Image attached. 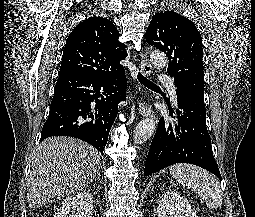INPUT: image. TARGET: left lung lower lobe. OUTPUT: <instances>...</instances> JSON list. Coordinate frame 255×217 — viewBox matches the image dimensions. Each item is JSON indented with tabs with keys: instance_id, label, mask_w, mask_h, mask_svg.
I'll use <instances>...</instances> for the list:
<instances>
[{
	"instance_id": "0a47b994",
	"label": "left lung lower lobe",
	"mask_w": 255,
	"mask_h": 217,
	"mask_svg": "<svg viewBox=\"0 0 255 217\" xmlns=\"http://www.w3.org/2000/svg\"><path fill=\"white\" fill-rule=\"evenodd\" d=\"M177 123L161 118L145 163L144 176L176 164L190 163L221 175L206 128L204 96L176 86Z\"/></svg>"
}]
</instances>
